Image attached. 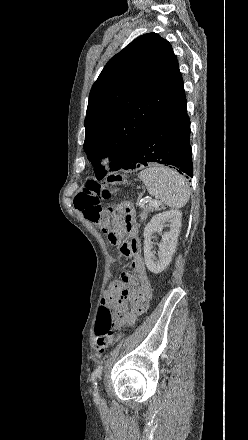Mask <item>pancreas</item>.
Returning <instances> with one entry per match:
<instances>
[{
	"label": "pancreas",
	"instance_id": "obj_1",
	"mask_svg": "<svg viewBox=\"0 0 248 440\" xmlns=\"http://www.w3.org/2000/svg\"><path fill=\"white\" fill-rule=\"evenodd\" d=\"M156 210H159V208H158V207H154V206L151 205V204L146 205V206L142 209V213H141V215H140L141 222H143V221H145V220L147 219V216H148V214H149L150 212H153V211H156Z\"/></svg>",
	"mask_w": 248,
	"mask_h": 440
}]
</instances>
